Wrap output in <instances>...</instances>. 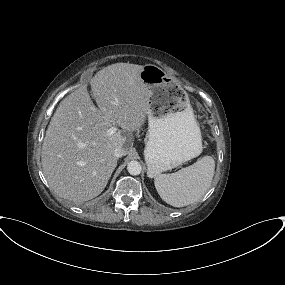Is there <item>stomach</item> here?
<instances>
[{
    "label": "stomach",
    "mask_w": 285,
    "mask_h": 285,
    "mask_svg": "<svg viewBox=\"0 0 285 285\" xmlns=\"http://www.w3.org/2000/svg\"><path fill=\"white\" fill-rule=\"evenodd\" d=\"M140 78L151 92L144 156L153 178L199 156L202 136L188 94L164 70L147 64Z\"/></svg>",
    "instance_id": "0dacf381"
}]
</instances>
